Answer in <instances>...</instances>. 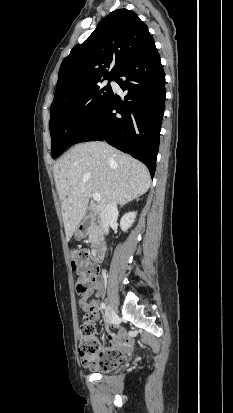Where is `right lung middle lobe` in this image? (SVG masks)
<instances>
[{
  "label": "right lung middle lobe",
  "mask_w": 233,
  "mask_h": 413,
  "mask_svg": "<svg viewBox=\"0 0 233 413\" xmlns=\"http://www.w3.org/2000/svg\"><path fill=\"white\" fill-rule=\"evenodd\" d=\"M108 80L110 82L111 78ZM100 82L52 103V158L61 154L89 128L110 99L113 94L110 84L101 87Z\"/></svg>",
  "instance_id": "obj_1"
}]
</instances>
